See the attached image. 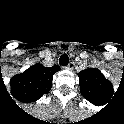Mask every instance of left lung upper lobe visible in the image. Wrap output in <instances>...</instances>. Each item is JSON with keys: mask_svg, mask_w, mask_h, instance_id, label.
<instances>
[{"mask_svg": "<svg viewBox=\"0 0 124 124\" xmlns=\"http://www.w3.org/2000/svg\"><path fill=\"white\" fill-rule=\"evenodd\" d=\"M81 94L87 99H94L107 84L103 74L94 68L82 70L78 73Z\"/></svg>", "mask_w": 124, "mask_h": 124, "instance_id": "1", "label": "left lung upper lobe"}]
</instances>
